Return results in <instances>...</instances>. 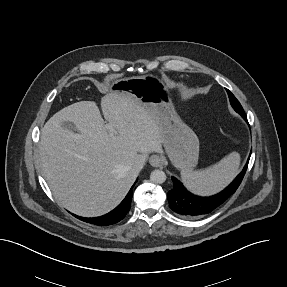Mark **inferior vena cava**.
<instances>
[{
    "label": "inferior vena cava",
    "mask_w": 287,
    "mask_h": 287,
    "mask_svg": "<svg viewBox=\"0 0 287 287\" xmlns=\"http://www.w3.org/2000/svg\"><path fill=\"white\" fill-rule=\"evenodd\" d=\"M144 163H145V157L142 155H138L134 160V162L132 163V167L134 170L139 172L143 168Z\"/></svg>",
    "instance_id": "602c4592"
}]
</instances>
